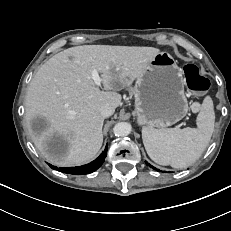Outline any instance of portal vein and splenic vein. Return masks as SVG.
I'll use <instances>...</instances> for the list:
<instances>
[{
  "instance_id": "portal-vein-and-splenic-vein-1",
  "label": "portal vein and splenic vein",
  "mask_w": 231,
  "mask_h": 231,
  "mask_svg": "<svg viewBox=\"0 0 231 231\" xmlns=\"http://www.w3.org/2000/svg\"><path fill=\"white\" fill-rule=\"evenodd\" d=\"M92 79L97 86H100L102 79L100 78V76L96 70L92 71Z\"/></svg>"
}]
</instances>
